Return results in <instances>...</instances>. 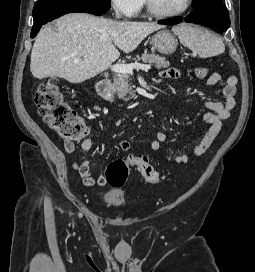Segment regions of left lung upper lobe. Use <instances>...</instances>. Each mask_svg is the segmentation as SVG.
I'll use <instances>...</instances> for the list:
<instances>
[{
    "label": "left lung upper lobe",
    "mask_w": 255,
    "mask_h": 272,
    "mask_svg": "<svg viewBox=\"0 0 255 272\" xmlns=\"http://www.w3.org/2000/svg\"><path fill=\"white\" fill-rule=\"evenodd\" d=\"M194 1V8L199 7L200 5L209 2V1H219L222 2L223 0H193Z\"/></svg>",
    "instance_id": "5c2ea615"
}]
</instances>
